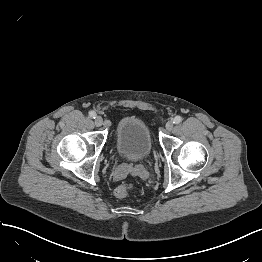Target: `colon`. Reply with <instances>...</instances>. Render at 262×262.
Masks as SVG:
<instances>
[{"mask_svg":"<svg viewBox=\"0 0 262 262\" xmlns=\"http://www.w3.org/2000/svg\"><path fill=\"white\" fill-rule=\"evenodd\" d=\"M133 187V183H123L115 189V196L119 199H124L128 196Z\"/></svg>","mask_w":262,"mask_h":262,"instance_id":"1","label":"colon"}]
</instances>
